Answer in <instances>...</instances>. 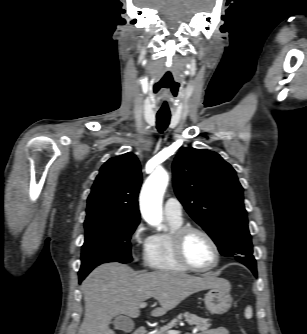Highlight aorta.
<instances>
[{
  "mask_svg": "<svg viewBox=\"0 0 307 334\" xmlns=\"http://www.w3.org/2000/svg\"><path fill=\"white\" fill-rule=\"evenodd\" d=\"M169 182V175L163 169L155 170L144 183L140 193V211L145 221L164 229L162 225V200Z\"/></svg>",
  "mask_w": 307,
  "mask_h": 334,
  "instance_id": "obj_1",
  "label": "aorta"
}]
</instances>
